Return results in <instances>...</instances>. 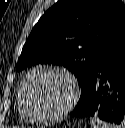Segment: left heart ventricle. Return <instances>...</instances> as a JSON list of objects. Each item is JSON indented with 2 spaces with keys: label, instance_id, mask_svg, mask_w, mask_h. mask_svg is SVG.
Returning a JSON list of instances; mask_svg holds the SVG:
<instances>
[{
  "label": "left heart ventricle",
  "instance_id": "1",
  "mask_svg": "<svg viewBox=\"0 0 125 128\" xmlns=\"http://www.w3.org/2000/svg\"><path fill=\"white\" fill-rule=\"evenodd\" d=\"M71 87L68 81L53 72H38L25 88L28 109L34 114H51L61 109L69 100Z\"/></svg>",
  "mask_w": 125,
  "mask_h": 128
}]
</instances>
